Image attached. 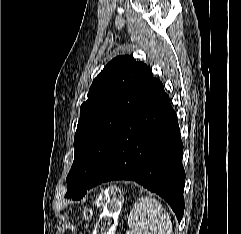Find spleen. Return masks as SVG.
I'll return each instance as SVG.
<instances>
[{
    "mask_svg": "<svg viewBox=\"0 0 241 234\" xmlns=\"http://www.w3.org/2000/svg\"><path fill=\"white\" fill-rule=\"evenodd\" d=\"M126 234H173L170 215L151 197L138 199L128 216Z\"/></svg>",
    "mask_w": 241,
    "mask_h": 234,
    "instance_id": "3e777b00",
    "label": "spleen"
}]
</instances>
